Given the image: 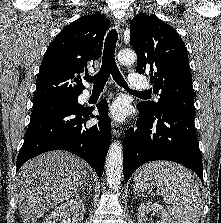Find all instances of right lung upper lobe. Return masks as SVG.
I'll return each mask as SVG.
<instances>
[{
	"mask_svg": "<svg viewBox=\"0 0 221 223\" xmlns=\"http://www.w3.org/2000/svg\"><path fill=\"white\" fill-rule=\"evenodd\" d=\"M110 22L101 14L80 17L50 43L37 76L34 104L77 97L84 89L80 73L101 56Z\"/></svg>",
	"mask_w": 221,
	"mask_h": 223,
	"instance_id": "1",
	"label": "right lung upper lobe"
}]
</instances>
